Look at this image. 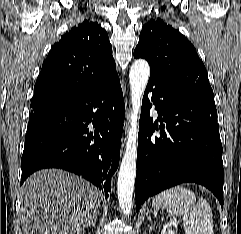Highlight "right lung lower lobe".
I'll use <instances>...</instances> for the list:
<instances>
[{
	"instance_id": "1",
	"label": "right lung lower lobe",
	"mask_w": 241,
	"mask_h": 234,
	"mask_svg": "<svg viewBox=\"0 0 241 234\" xmlns=\"http://www.w3.org/2000/svg\"><path fill=\"white\" fill-rule=\"evenodd\" d=\"M125 104L118 75L62 99L31 104L20 185L35 171L61 168L108 197L118 168Z\"/></svg>"
}]
</instances>
